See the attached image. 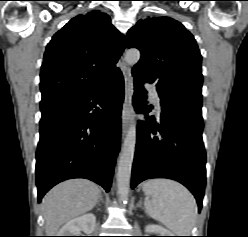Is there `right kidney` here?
Segmentation results:
<instances>
[{
    "instance_id": "right-kidney-1",
    "label": "right kidney",
    "mask_w": 248,
    "mask_h": 237,
    "mask_svg": "<svg viewBox=\"0 0 248 237\" xmlns=\"http://www.w3.org/2000/svg\"><path fill=\"white\" fill-rule=\"evenodd\" d=\"M96 217L92 213L84 214L67 222L58 232V236H79L83 231L86 234L93 232Z\"/></svg>"
}]
</instances>
